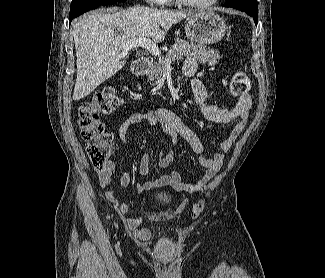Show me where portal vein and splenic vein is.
<instances>
[{
    "mask_svg": "<svg viewBox=\"0 0 325 278\" xmlns=\"http://www.w3.org/2000/svg\"><path fill=\"white\" fill-rule=\"evenodd\" d=\"M134 47H143L147 49L152 55L154 56H161V51L156 43L151 41L148 38H135L128 41L126 44L123 45L125 51H128ZM171 62L166 60L165 66L166 68H170Z\"/></svg>",
    "mask_w": 325,
    "mask_h": 278,
    "instance_id": "obj_1",
    "label": "portal vein and splenic vein"
}]
</instances>
